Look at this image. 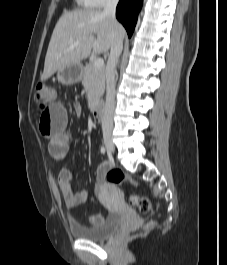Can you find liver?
<instances>
[{
  "mask_svg": "<svg viewBox=\"0 0 227 265\" xmlns=\"http://www.w3.org/2000/svg\"><path fill=\"white\" fill-rule=\"evenodd\" d=\"M115 32L124 38L122 25L114 24L101 11L77 10L64 13L52 33L41 80L48 79L61 68L79 64L91 53H107L113 44Z\"/></svg>",
  "mask_w": 227,
  "mask_h": 265,
  "instance_id": "obj_1",
  "label": "liver"
}]
</instances>
